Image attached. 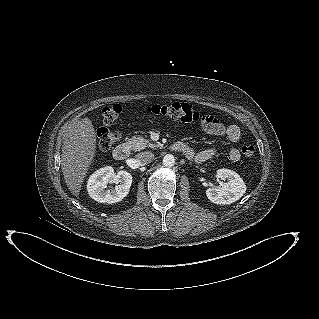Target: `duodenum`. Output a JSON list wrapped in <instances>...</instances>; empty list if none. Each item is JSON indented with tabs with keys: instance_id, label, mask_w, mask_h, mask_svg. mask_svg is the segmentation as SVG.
I'll return each instance as SVG.
<instances>
[{
	"instance_id": "duodenum-1",
	"label": "duodenum",
	"mask_w": 319,
	"mask_h": 319,
	"mask_svg": "<svg viewBox=\"0 0 319 319\" xmlns=\"http://www.w3.org/2000/svg\"><path fill=\"white\" fill-rule=\"evenodd\" d=\"M172 149L178 152H181L183 154H187V149L186 147L181 144V143H175L172 145ZM130 152V147L129 144L127 143H122L120 145H118L114 151H113V157L115 160L117 161H123L125 160Z\"/></svg>"
}]
</instances>
